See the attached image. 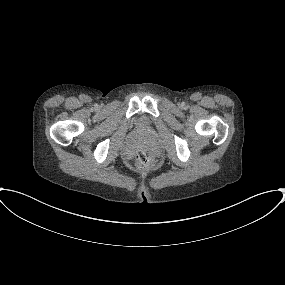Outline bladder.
<instances>
[{
  "instance_id": "1",
  "label": "bladder",
  "mask_w": 285,
  "mask_h": 285,
  "mask_svg": "<svg viewBox=\"0 0 285 285\" xmlns=\"http://www.w3.org/2000/svg\"><path fill=\"white\" fill-rule=\"evenodd\" d=\"M148 124H146V123H140L139 125H138V128L140 129V130H146V129H148Z\"/></svg>"
}]
</instances>
